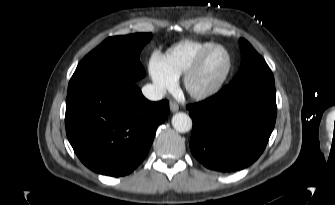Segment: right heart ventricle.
Instances as JSON below:
<instances>
[{
	"label": "right heart ventricle",
	"mask_w": 335,
	"mask_h": 205,
	"mask_svg": "<svg viewBox=\"0 0 335 205\" xmlns=\"http://www.w3.org/2000/svg\"><path fill=\"white\" fill-rule=\"evenodd\" d=\"M215 43L210 41L183 40L171 46L165 53L168 71L177 79L184 75L197 57Z\"/></svg>",
	"instance_id": "e07e8e85"
}]
</instances>
